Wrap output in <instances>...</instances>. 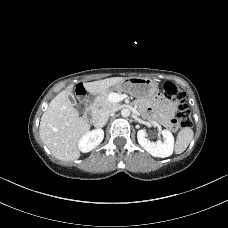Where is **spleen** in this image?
Here are the masks:
<instances>
[{
	"label": "spleen",
	"instance_id": "1",
	"mask_svg": "<svg viewBox=\"0 0 228 228\" xmlns=\"http://www.w3.org/2000/svg\"><path fill=\"white\" fill-rule=\"evenodd\" d=\"M193 135L194 133L191 127H184L178 132L175 144L176 154H181L186 150L193 139Z\"/></svg>",
	"mask_w": 228,
	"mask_h": 228
}]
</instances>
